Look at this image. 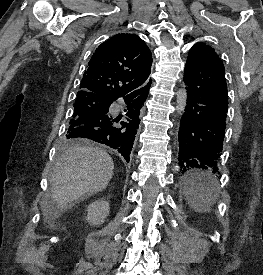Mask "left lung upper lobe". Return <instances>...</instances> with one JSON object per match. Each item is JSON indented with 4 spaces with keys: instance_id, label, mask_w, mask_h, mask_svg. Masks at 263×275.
<instances>
[{
    "instance_id": "left-lung-upper-lobe-1",
    "label": "left lung upper lobe",
    "mask_w": 263,
    "mask_h": 275,
    "mask_svg": "<svg viewBox=\"0 0 263 275\" xmlns=\"http://www.w3.org/2000/svg\"><path fill=\"white\" fill-rule=\"evenodd\" d=\"M205 49H209V50H214L212 47L206 45V44H203V43H196L191 49L190 51L192 50H205ZM189 51V52H190Z\"/></svg>"
}]
</instances>
